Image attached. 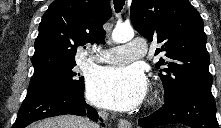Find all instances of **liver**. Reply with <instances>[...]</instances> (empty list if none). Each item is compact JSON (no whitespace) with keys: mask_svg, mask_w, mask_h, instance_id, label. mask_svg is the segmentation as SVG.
<instances>
[{"mask_svg":"<svg viewBox=\"0 0 221 128\" xmlns=\"http://www.w3.org/2000/svg\"><path fill=\"white\" fill-rule=\"evenodd\" d=\"M90 122L75 115L51 117L34 123L29 128H89Z\"/></svg>","mask_w":221,"mask_h":128,"instance_id":"liver-1","label":"liver"}]
</instances>
